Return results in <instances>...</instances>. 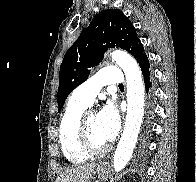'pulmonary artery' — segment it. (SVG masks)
<instances>
[{
    "label": "pulmonary artery",
    "mask_w": 196,
    "mask_h": 182,
    "mask_svg": "<svg viewBox=\"0 0 196 182\" xmlns=\"http://www.w3.org/2000/svg\"><path fill=\"white\" fill-rule=\"evenodd\" d=\"M124 83L122 71L117 67H105L95 76L79 85L72 93V99L86 105H92L98 92L108 85Z\"/></svg>",
    "instance_id": "obj_1"
}]
</instances>
